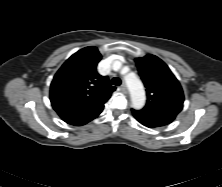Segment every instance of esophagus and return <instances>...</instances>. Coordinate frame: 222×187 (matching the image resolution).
Returning <instances> with one entry per match:
<instances>
[{
	"mask_svg": "<svg viewBox=\"0 0 222 187\" xmlns=\"http://www.w3.org/2000/svg\"><path fill=\"white\" fill-rule=\"evenodd\" d=\"M119 89H120L122 92H124V93L127 92V87H126V85H125L124 83L119 87Z\"/></svg>",
	"mask_w": 222,
	"mask_h": 187,
	"instance_id": "obj_1",
	"label": "esophagus"
}]
</instances>
